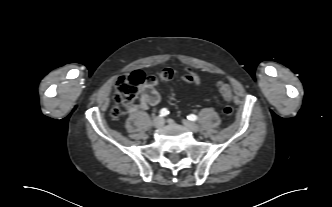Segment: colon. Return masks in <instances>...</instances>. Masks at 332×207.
Listing matches in <instances>:
<instances>
[{"instance_id":"1","label":"colon","mask_w":332,"mask_h":207,"mask_svg":"<svg viewBox=\"0 0 332 207\" xmlns=\"http://www.w3.org/2000/svg\"><path fill=\"white\" fill-rule=\"evenodd\" d=\"M174 76L175 74L170 68H164L160 72V78L164 81L172 80ZM144 81L145 75L141 71H133L119 78L115 87L116 103L111 109L113 118L118 119L124 114L126 108L140 94ZM217 87L226 102L223 113L230 118L233 114L231 87L226 82H219Z\"/></svg>"}]
</instances>
